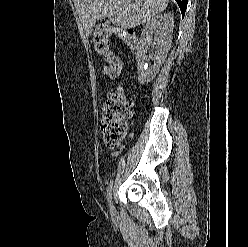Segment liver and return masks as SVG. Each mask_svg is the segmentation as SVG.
I'll return each instance as SVG.
<instances>
[{
    "mask_svg": "<svg viewBox=\"0 0 248 247\" xmlns=\"http://www.w3.org/2000/svg\"><path fill=\"white\" fill-rule=\"evenodd\" d=\"M169 0H74L86 35L98 19L109 20L123 28H134L164 11Z\"/></svg>",
    "mask_w": 248,
    "mask_h": 247,
    "instance_id": "liver-1",
    "label": "liver"
}]
</instances>
